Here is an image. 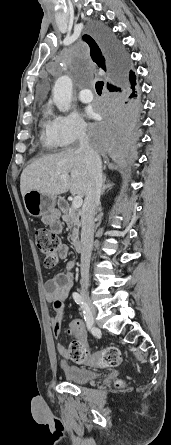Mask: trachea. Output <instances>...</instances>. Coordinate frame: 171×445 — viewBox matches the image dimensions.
Segmentation results:
<instances>
[{
    "label": "trachea",
    "mask_w": 171,
    "mask_h": 445,
    "mask_svg": "<svg viewBox=\"0 0 171 445\" xmlns=\"http://www.w3.org/2000/svg\"><path fill=\"white\" fill-rule=\"evenodd\" d=\"M103 86H104V82L103 81H98L96 83L95 88H96V91H97L98 94L102 93Z\"/></svg>",
    "instance_id": "obj_1"
}]
</instances>
